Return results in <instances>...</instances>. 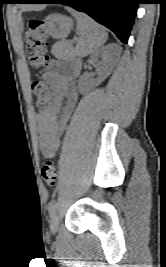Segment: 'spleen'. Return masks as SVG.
Wrapping results in <instances>:
<instances>
[{
  "mask_svg": "<svg viewBox=\"0 0 166 267\" xmlns=\"http://www.w3.org/2000/svg\"><path fill=\"white\" fill-rule=\"evenodd\" d=\"M77 20L79 39L74 49L78 57H85L96 52L107 40L108 34L105 29L88 15L67 8Z\"/></svg>",
  "mask_w": 166,
  "mask_h": 267,
  "instance_id": "obj_1",
  "label": "spleen"
}]
</instances>
